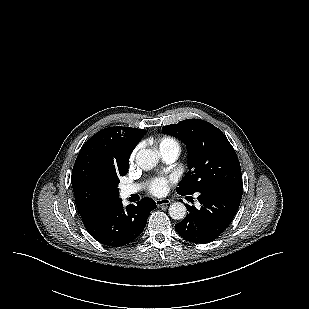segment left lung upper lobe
Listing matches in <instances>:
<instances>
[{
  "instance_id": "left-lung-upper-lobe-1",
  "label": "left lung upper lobe",
  "mask_w": 309,
  "mask_h": 309,
  "mask_svg": "<svg viewBox=\"0 0 309 309\" xmlns=\"http://www.w3.org/2000/svg\"><path fill=\"white\" fill-rule=\"evenodd\" d=\"M188 149L189 171L179 182V194L192 195L222 189L242 191V174L236 152L221 130L209 122L186 119L162 128Z\"/></svg>"
}]
</instances>
